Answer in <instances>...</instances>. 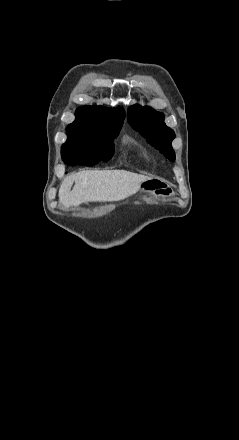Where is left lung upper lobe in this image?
Masks as SVG:
<instances>
[{"instance_id":"1","label":"left lung upper lobe","mask_w":239,"mask_h":440,"mask_svg":"<svg viewBox=\"0 0 239 440\" xmlns=\"http://www.w3.org/2000/svg\"><path fill=\"white\" fill-rule=\"evenodd\" d=\"M127 116L133 129L139 131L149 143L170 161L175 160V153L171 146L175 133L165 125L162 113L150 107L133 105L128 108Z\"/></svg>"}]
</instances>
